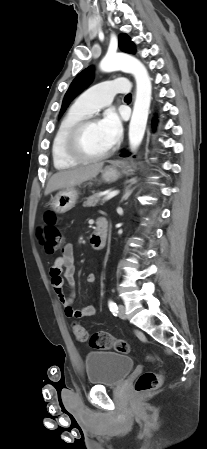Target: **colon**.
Here are the masks:
<instances>
[{"mask_svg":"<svg viewBox=\"0 0 207 449\" xmlns=\"http://www.w3.org/2000/svg\"><path fill=\"white\" fill-rule=\"evenodd\" d=\"M45 224L39 229V238L46 255L55 254L63 241L62 233L55 224V215L48 212L45 215ZM73 334L79 341H88L90 346L95 349H114L119 353L128 354L130 352V345L122 339H117L111 334L100 331L89 336L86 329L78 324H73ZM148 359L153 361L152 356ZM162 374L154 371H145L137 379L135 383V390L138 393H147L156 390L161 382Z\"/></svg>","mask_w":207,"mask_h":449,"instance_id":"5ec220e1","label":"colon"}]
</instances>
